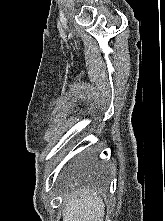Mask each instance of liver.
I'll list each match as a JSON object with an SVG mask.
<instances>
[{"label":"liver","instance_id":"1","mask_svg":"<svg viewBox=\"0 0 165 221\" xmlns=\"http://www.w3.org/2000/svg\"><path fill=\"white\" fill-rule=\"evenodd\" d=\"M105 205L97 195L84 194L65 204L63 221H103Z\"/></svg>","mask_w":165,"mask_h":221}]
</instances>
